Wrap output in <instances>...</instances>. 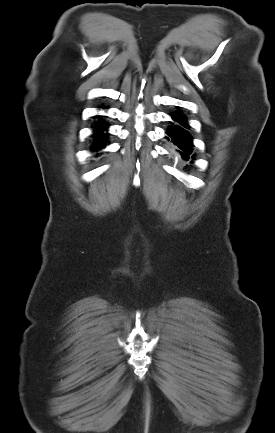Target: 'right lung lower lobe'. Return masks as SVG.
I'll return each mask as SVG.
<instances>
[{
  "label": "right lung lower lobe",
  "instance_id": "1",
  "mask_svg": "<svg viewBox=\"0 0 275 433\" xmlns=\"http://www.w3.org/2000/svg\"><path fill=\"white\" fill-rule=\"evenodd\" d=\"M99 118V121L95 123V130H94V137H95V141H94V147L92 148V150L97 151L101 148L105 147V142L107 140V135L102 131V129H105V131H107V127L108 125L106 124L105 121L101 120L99 116H97Z\"/></svg>",
  "mask_w": 275,
  "mask_h": 433
}]
</instances>
